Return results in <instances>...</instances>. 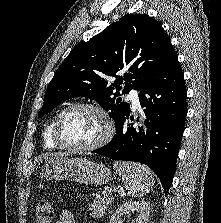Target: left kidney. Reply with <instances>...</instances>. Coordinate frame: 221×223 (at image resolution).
Segmentation results:
<instances>
[{
	"mask_svg": "<svg viewBox=\"0 0 221 223\" xmlns=\"http://www.w3.org/2000/svg\"><path fill=\"white\" fill-rule=\"evenodd\" d=\"M136 212L137 216L132 223H147L150 213V204L144 200L129 201L122 204L111 216L109 223H123L122 216L129 212Z\"/></svg>",
	"mask_w": 221,
	"mask_h": 223,
	"instance_id": "5707ae66",
	"label": "left kidney"
}]
</instances>
